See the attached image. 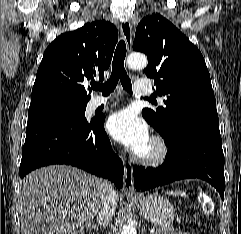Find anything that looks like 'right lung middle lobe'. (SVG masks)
Here are the masks:
<instances>
[{
  "mask_svg": "<svg viewBox=\"0 0 241 234\" xmlns=\"http://www.w3.org/2000/svg\"><path fill=\"white\" fill-rule=\"evenodd\" d=\"M87 104H78L66 101H48L30 105L28 123L46 120H68L85 122Z\"/></svg>",
  "mask_w": 241,
  "mask_h": 234,
  "instance_id": "right-lung-middle-lobe-1",
  "label": "right lung middle lobe"
}]
</instances>
